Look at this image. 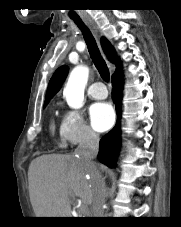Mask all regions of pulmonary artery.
<instances>
[{
  "label": "pulmonary artery",
  "instance_id": "obj_1",
  "mask_svg": "<svg viewBox=\"0 0 181 227\" xmlns=\"http://www.w3.org/2000/svg\"><path fill=\"white\" fill-rule=\"evenodd\" d=\"M89 97L93 99H104L107 97V89L102 82H95L87 90Z\"/></svg>",
  "mask_w": 181,
  "mask_h": 227
}]
</instances>
